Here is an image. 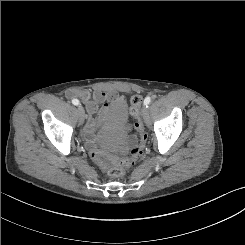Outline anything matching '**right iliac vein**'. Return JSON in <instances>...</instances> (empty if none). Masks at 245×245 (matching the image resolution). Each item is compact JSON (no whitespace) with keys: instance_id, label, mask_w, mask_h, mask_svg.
<instances>
[{"instance_id":"right-iliac-vein-1","label":"right iliac vein","mask_w":245,"mask_h":245,"mask_svg":"<svg viewBox=\"0 0 245 245\" xmlns=\"http://www.w3.org/2000/svg\"><path fill=\"white\" fill-rule=\"evenodd\" d=\"M78 118H79V125H82L85 119V111L82 106H78Z\"/></svg>"}]
</instances>
